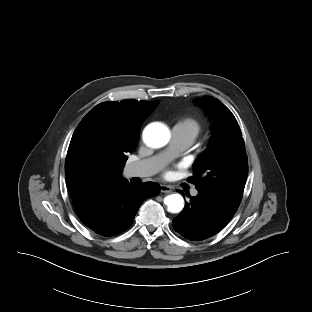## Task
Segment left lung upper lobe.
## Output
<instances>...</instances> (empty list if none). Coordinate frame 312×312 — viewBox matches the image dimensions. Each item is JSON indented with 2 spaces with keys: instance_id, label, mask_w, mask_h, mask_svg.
<instances>
[{
  "instance_id": "obj_1",
  "label": "left lung upper lobe",
  "mask_w": 312,
  "mask_h": 312,
  "mask_svg": "<svg viewBox=\"0 0 312 312\" xmlns=\"http://www.w3.org/2000/svg\"><path fill=\"white\" fill-rule=\"evenodd\" d=\"M214 120L210 148L193 164L194 177L188 181L198 191L210 192L239 207L248 163L240 127L232 112L218 99L202 97L196 99Z\"/></svg>"
}]
</instances>
